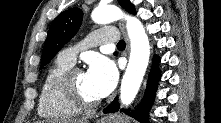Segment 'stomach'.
<instances>
[{
  "instance_id": "0dacf381",
  "label": "stomach",
  "mask_w": 221,
  "mask_h": 123,
  "mask_svg": "<svg viewBox=\"0 0 221 123\" xmlns=\"http://www.w3.org/2000/svg\"><path fill=\"white\" fill-rule=\"evenodd\" d=\"M96 123H128V119L123 116L109 115L99 119Z\"/></svg>"
}]
</instances>
